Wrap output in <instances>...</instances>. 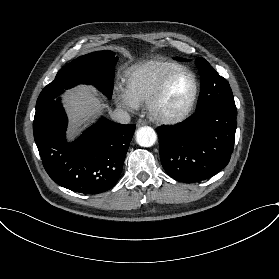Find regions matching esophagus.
I'll return each mask as SVG.
<instances>
[{
    "label": "esophagus",
    "mask_w": 279,
    "mask_h": 279,
    "mask_svg": "<svg viewBox=\"0 0 279 279\" xmlns=\"http://www.w3.org/2000/svg\"><path fill=\"white\" fill-rule=\"evenodd\" d=\"M144 125H146V120H144V119H139V120L137 121V126H138V127H141V126H144Z\"/></svg>",
    "instance_id": "esophagus-1"
}]
</instances>
